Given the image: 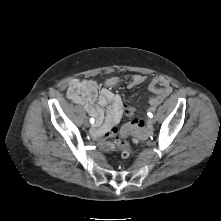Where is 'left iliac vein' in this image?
<instances>
[{"instance_id": "1", "label": "left iliac vein", "mask_w": 221, "mask_h": 221, "mask_svg": "<svg viewBox=\"0 0 221 221\" xmlns=\"http://www.w3.org/2000/svg\"><path fill=\"white\" fill-rule=\"evenodd\" d=\"M155 122H156V117L153 116V117L149 120V123H150V124H153V123H155Z\"/></svg>"}]
</instances>
